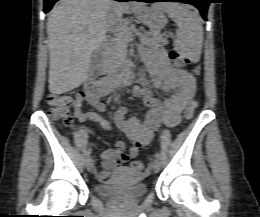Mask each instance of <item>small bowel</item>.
Masks as SVG:
<instances>
[{
  "instance_id": "1",
  "label": "small bowel",
  "mask_w": 260,
  "mask_h": 217,
  "mask_svg": "<svg viewBox=\"0 0 260 217\" xmlns=\"http://www.w3.org/2000/svg\"><path fill=\"white\" fill-rule=\"evenodd\" d=\"M142 63L150 74V83L137 85L132 93L150 108L142 119L132 117L125 119L127 108L120 106L116 109L114 120L117 127L132 141V147L126 152L125 143L118 141L114 149H107L102 153L103 169L96 171L99 178L106 180L111 173L135 157L142 148L149 145L153 133L163 123L168 127L176 126L180 121V114L193 99L196 92L194 77L183 69L174 68L169 62L165 51L154 49L146 51L141 56ZM154 87L167 93L165 99H160L154 92ZM105 93H84L82 97L97 111L102 112L106 106L100 101ZM82 101L74 106V115L80 121L87 119L98 122L105 130H110V123L96 112L84 113Z\"/></svg>"
}]
</instances>
